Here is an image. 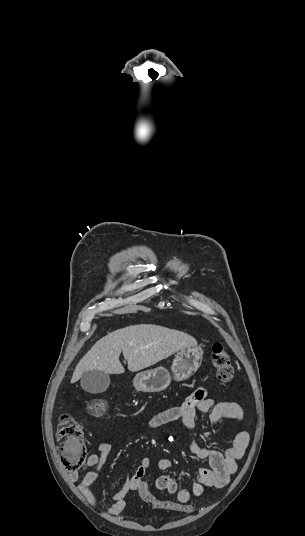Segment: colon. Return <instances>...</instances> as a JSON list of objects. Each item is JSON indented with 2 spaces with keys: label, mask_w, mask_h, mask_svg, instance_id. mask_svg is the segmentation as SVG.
I'll list each match as a JSON object with an SVG mask.
<instances>
[{
  "label": "colon",
  "mask_w": 305,
  "mask_h": 536,
  "mask_svg": "<svg viewBox=\"0 0 305 536\" xmlns=\"http://www.w3.org/2000/svg\"><path fill=\"white\" fill-rule=\"evenodd\" d=\"M211 362L216 370V377L220 384L227 385L233 379V370L229 355L223 343L216 341L212 344ZM87 411L93 417H102L108 412V401L104 398H94L88 401ZM56 439L60 462H64L65 471H80L81 462L88 447L83 441V431L79 422L70 415L63 414L59 418ZM141 501L149 505L152 513H188L193 510V505L188 502L175 500L173 502H161L155 493L149 491L147 486L140 484Z\"/></svg>",
  "instance_id": "colon-1"
}]
</instances>
